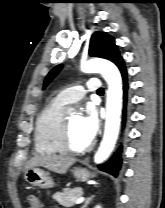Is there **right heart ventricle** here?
Masks as SVG:
<instances>
[{
  "mask_svg": "<svg viewBox=\"0 0 165 208\" xmlns=\"http://www.w3.org/2000/svg\"><path fill=\"white\" fill-rule=\"evenodd\" d=\"M65 104L51 100L35 122L34 145L38 153L53 155L64 153L60 147V132L64 120Z\"/></svg>",
  "mask_w": 165,
  "mask_h": 208,
  "instance_id": "1",
  "label": "right heart ventricle"
}]
</instances>
